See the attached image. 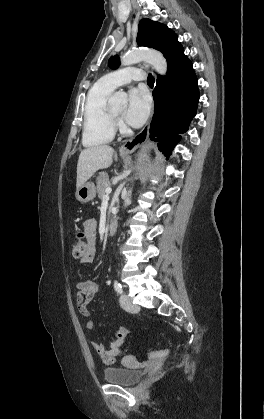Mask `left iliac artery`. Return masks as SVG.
I'll return each mask as SVG.
<instances>
[{
  "instance_id": "obj_1",
  "label": "left iliac artery",
  "mask_w": 264,
  "mask_h": 419,
  "mask_svg": "<svg viewBox=\"0 0 264 419\" xmlns=\"http://www.w3.org/2000/svg\"><path fill=\"white\" fill-rule=\"evenodd\" d=\"M114 289L117 293H123L122 286L117 280L114 281Z\"/></svg>"
}]
</instances>
